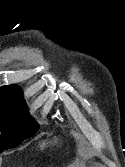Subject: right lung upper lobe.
<instances>
[{
	"instance_id": "right-lung-upper-lobe-1",
	"label": "right lung upper lobe",
	"mask_w": 125,
	"mask_h": 167,
	"mask_svg": "<svg viewBox=\"0 0 125 167\" xmlns=\"http://www.w3.org/2000/svg\"><path fill=\"white\" fill-rule=\"evenodd\" d=\"M0 98L23 99L22 89L17 85H8L0 87Z\"/></svg>"
}]
</instances>
